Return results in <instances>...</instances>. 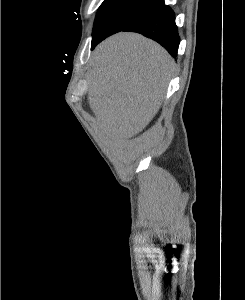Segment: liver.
Returning a JSON list of instances; mask_svg holds the SVG:
<instances>
[{"label": "liver", "mask_w": 245, "mask_h": 300, "mask_svg": "<svg viewBox=\"0 0 245 300\" xmlns=\"http://www.w3.org/2000/svg\"><path fill=\"white\" fill-rule=\"evenodd\" d=\"M173 58L136 33H117L93 54L88 101L101 127L115 138H131L154 118L174 72Z\"/></svg>", "instance_id": "obj_1"}]
</instances>
